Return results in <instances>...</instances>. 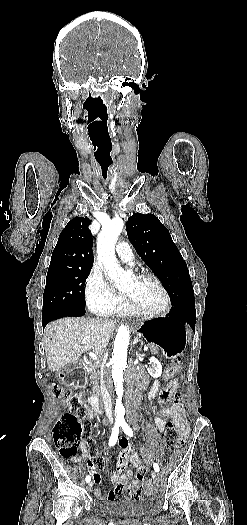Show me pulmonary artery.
Returning a JSON list of instances; mask_svg holds the SVG:
<instances>
[{
    "mask_svg": "<svg viewBox=\"0 0 247 525\" xmlns=\"http://www.w3.org/2000/svg\"><path fill=\"white\" fill-rule=\"evenodd\" d=\"M117 255L123 260H132L134 255L130 243L126 239H119L115 246Z\"/></svg>",
    "mask_w": 247,
    "mask_h": 525,
    "instance_id": "obj_1",
    "label": "pulmonary artery"
}]
</instances>
